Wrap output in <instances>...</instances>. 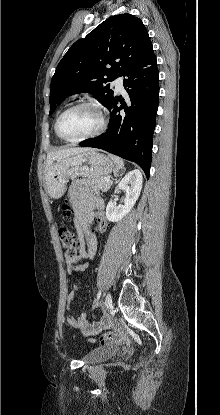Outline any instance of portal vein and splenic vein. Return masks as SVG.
<instances>
[{
  "label": "portal vein and splenic vein",
  "mask_w": 220,
  "mask_h": 415,
  "mask_svg": "<svg viewBox=\"0 0 220 415\" xmlns=\"http://www.w3.org/2000/svg\"><path fill=\"white\" fill-rule=\"evenodd\" d=\"M105 181H106V182H110V178H109V177H106V178H105Z\"/></svg>",
  "instance_id": "1"
}]
</instances>
